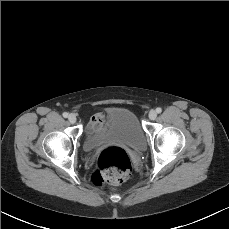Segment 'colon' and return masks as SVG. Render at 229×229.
<instances>
[{
    "mask_svg": "<svg viewBox=\"0 0 229 229\" xmlns=\"http://www.w3.org/2000/svg\"><path fill=\"white\" fill-rule=\"evenodd\" d=\"M130 171L131 162L127 153L120 147L112 146L100 153L92 180L98 185H118L127 180Z\"/></svg>",
    "mask_w": 229,
    "mask_h": 229,
    "instance_id": "1",
    "label": "colon"
}]
</instances>
